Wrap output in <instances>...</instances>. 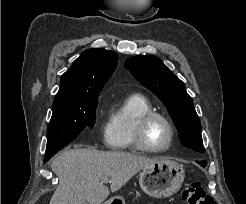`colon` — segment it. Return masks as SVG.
I'll list each match as a JSON object with an SVG mask.
<instances>
[{
  "label": "colon",
  "mask_w": 246,
  "mask_h": 204,
  "mask_svg": "<svg viewBox=\"0 0 246 204\" xmlns=\"http://www.w3.org/2000/svg\"><path fill=\"white\" fill-rule=\"evenodd\" d=\"M182 198L187 204H216L215 200L203 189L200 182H193L182 191Z\"/></svg>",
  "instance_id": "obj_1"
}]
</instances>
